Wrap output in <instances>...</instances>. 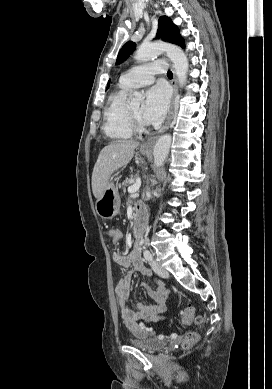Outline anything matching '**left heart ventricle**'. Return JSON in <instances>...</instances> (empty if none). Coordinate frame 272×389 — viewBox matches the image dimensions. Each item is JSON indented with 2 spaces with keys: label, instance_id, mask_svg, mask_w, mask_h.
<instances>
[{
  "label": "left heart ventricle",
  "instance_id": "1",
  "mask_svg": "<svg viewBox=\"0 0 272 389\" xmlns=\"http://www.w3.org/2000/svg\"><path fill=\"white\" fill-rule=\"evenodd\" d=\"M142 104L141 103H138V104H135V105H132L130 108L131 110L134 112V114L144 123L143 119H142Z\"/></svg>",
  "mask_w": 272,
  "mask_h": 389
}]
</instances>
